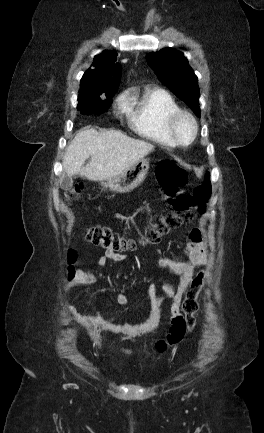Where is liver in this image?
Instances as JSON below:
<instances>
[{
    "label": "liver",
    "instance_id": "6515ba94",
    "mask_svg": "<svg viewBox=\"0 0 264 433\" xmlns=\"http://www.w3.org/2000/svg\"><path fill=\"white\" fill-rule=\"evenodd\" d=\"M153 150L151 143L118 130L85 128L67 146L62 165L69 177L80 174L88 180L103 181L123 174ZM89 157V164L84 166Z\"/></svg>",
    "mask_w": 264,
    "mask_h": 433
}]
</instances>
